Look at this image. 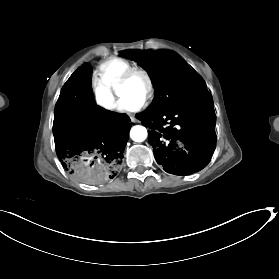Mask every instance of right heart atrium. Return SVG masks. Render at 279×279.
I'll use <instances>...</instances> for the list:
<instances>
[{
	"label": "right heart atrium",
	"instance_id": "obj_1",
	"mask_svg": "<svg viewBox=\"0 0 279 279\" xmlns=\"http://www.w3.org/2000/svg\"><path fill=\"white\" fill-rule=\"evenodd\" d=\"M93 96L96 106L104 113H113L117 106V96L101 84H93Z\"/></svg>",
	"mask_w": 279,
	"mask_h": 279
}]
</instances>
